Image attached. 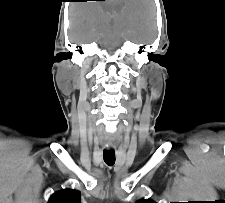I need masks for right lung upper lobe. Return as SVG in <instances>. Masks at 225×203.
<instances>
[{
	"label": "right lung upper lobe",
	"mask_w": 225,
	"mask_h": 203,
	"mask_svg": "<svg viewBox=\"0 0 225 203\" xmlns=\"http://www.w3.org/2000/svg\"><path fill=\"white\" fill-rule=\"evenodd\" d=\"M48 203H80V192L65 189L54 193Z\"/></svg>",
	"instance_id": "1"
}]
</instances>
